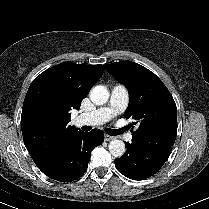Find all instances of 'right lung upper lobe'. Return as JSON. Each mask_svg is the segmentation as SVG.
Returning a JSON list of instances; mask_svg holds the SVG:
<instances>
[{"label":"right lung upper lobe","mask_w":209,"mask_h":209,"mask_svg":"<svg viewBox=\"0 0 209 209\" xmlns=\"http://www.w3.org/2000/svg\"><path fill=\"white\" fill-rule=\"evenodd\" d=\"M103 72V65L67 62L47 69L33 80L23 103L21 130L38 167L80 131L68 125L70 111L79 109Z\"/></svg>","instance_id":"obj_1"}]
</instances>
